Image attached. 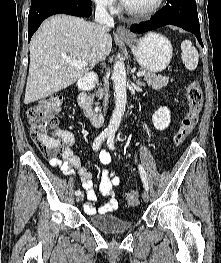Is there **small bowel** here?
Listing matches in <instances>:
<instances>
[{
    "instance_id": "small-bowel-1",
    "label": "small bowel",
    "mask_w": 221,
    "mask_h": 263,
    "mask_svg": "<svg viewBox=\"0 0 221 263\" xmlns=\"http://www.w3.org/2000/svg\"><path fill=\"white\" fill-rule=\"evenodd\" d=\"M62 139L65 143V149L61 159H51L49 164L52 167H57L61 172L67 176H78L83 188L86 190L87 202L84 204V211L88 215H94L96 212L100 214H107L115 211L118 208V200L113 191V188L120 184V178L114 170H104L102 172L101 180L98 185L99 194L107 199L106 203L98 208H95L96 194L93 188L92 174L87 171L79 161V158L73 152V145L75 142L74 134L70 131L61 132ZM99 160L103 165L111 163V155L102 151L99 155Z\"/></svg>"
}]
</instances>
